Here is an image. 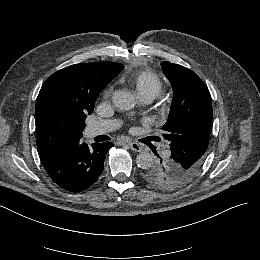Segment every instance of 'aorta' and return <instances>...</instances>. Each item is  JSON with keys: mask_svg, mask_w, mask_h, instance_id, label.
<instances>
[{"mask_svg": "<svg viewBox=\"0 0 260 260\" xmlns=\"http://www.w3.org/2000/svg\"><path fill=\"white\" fill-rule=\"evenodd\" d=\"M112 102L121 111H128L135 106L134 97L127 91L118 90L113 93ZM153 156L149 152H141L136 157V164L141 169H147L153 165Z\"/></svg>", "mask_w": 260, "mask_h": 260, "instance_id": "aorta-1", "label": "aorta"}]
</instances>
